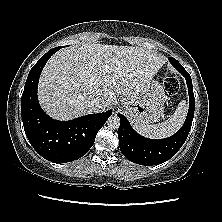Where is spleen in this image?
<instances>
[{"instance_id":"1","label":"spleen","mask_w":222,"mask_h":222,"mask_svg":"<svg viewBox=\"0 0 222 222\" xmlns=\"http://www.w3.org/2000/svg\"><path fill=\"white\" fill-rule=\"evenodd\" d=\"M188 104L185 100L180 101L173 115L166 121L154 125L136 126L141 135L151 139H162L174 134L184 123L187 115Z\"/></svg>"}]
</instances>
